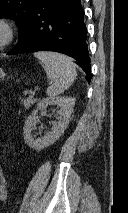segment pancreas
Listing matches in <instances>:
<instances>
[{"label":"pancreas","instance_id":"cf45deb5","mask_svg":"<svg viewBox=\"0 0 128 213\" xmlns=\"http://www.w3.org/2000/svg\"><path fill=\"white\" fill-rule=\"evenodd\" d=\"M37 100L34 99L32 96L26 98V99H21V102L24 106L25 109H29L31 105H33Z\"/></svg>","mask_w":128,"mask_h":213}]
</instances>
